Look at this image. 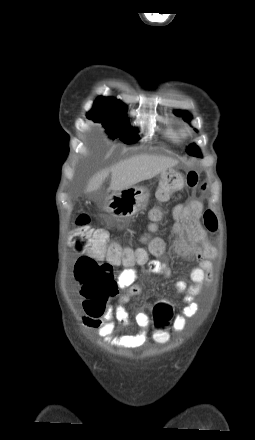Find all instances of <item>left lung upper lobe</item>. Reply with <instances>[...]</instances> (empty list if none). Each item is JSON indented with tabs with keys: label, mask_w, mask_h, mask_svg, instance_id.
Wrapping results in <instances>:
<instances>
[{
	"label": "left lung upper lobe",
	"mask_w": 255,
	"mask_h": 440,
	"mask_svg": "<svg viewBox=\"0 0 255 440\" xmlns=\"http://www.w3.org/2000/svg\"><path fill=\"white\" fill-rule=\"evenodd\" d=\"M175 115L177 116H182V118L189 122L191 119V115L187 114L185 111H176ZM187 153L191 156H196V157H202L200 150L198 148L197 145L195 144H191L188 148H187Z\"/></svg>",
	"instance_id": "obj_1"
}]
</instances>
